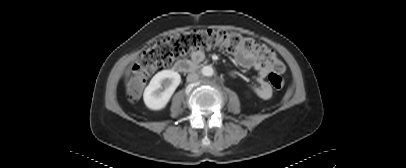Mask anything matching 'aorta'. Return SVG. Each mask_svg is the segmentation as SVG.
Segmentation results:
<instances>
[{"label": "aorta", "mask_w": 406, "mask_h": 168, "mask_svg": "<svg viewBox=\"0 0 406 168\" xmlns=\"http://www.w3.org/2000/svg\"><path fill=\"white\" fill-rule=\"evenodd\" d=\"M201 73H202L204 76H212V75L214 74V70H213V68H212L211 66H204V67L201 69Z\"/></svg>", "instance_id": "1"}]
</instances>
